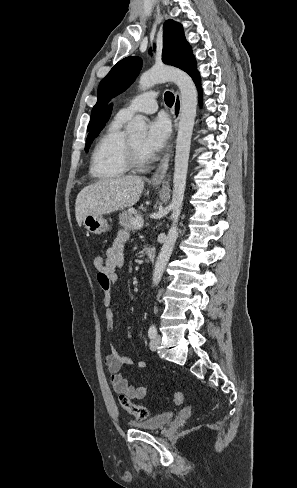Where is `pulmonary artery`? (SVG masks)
I'll list each match as a JSON object with an SVG mask.
<instances>
[{
	"label": "pulmonary artery",
	"mask_w": 297,
	"mask_h": 488,
	"mask_svg": "<svg viewBox=\"0 0 297 488\" xmlns=\"http://www.w3.org/2000/svg\"><path fill=\"white\" fill-rule=\"evenodd\" d=\"M157 95L155 92H146L132 98L128 104L123 107L118 115L122 118L128 119L134 113L142 112L151 114L157 111Z\"/></svg>",
	"instance_id": "pulmonary-artery-1"
}]
</instances>
